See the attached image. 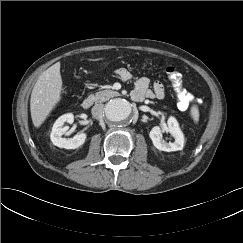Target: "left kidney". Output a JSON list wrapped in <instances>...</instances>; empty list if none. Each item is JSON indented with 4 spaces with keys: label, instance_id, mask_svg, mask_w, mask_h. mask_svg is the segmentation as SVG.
Listing matches in <instances>:
<instances>
[{
    "label": "left kidney",
    "instance_id": "5707ae66",
    "mask_svg": "<svg viewBox=\"0 0 243 243\" xmlns=\"http://www.w3.org/2000/svg\"><path fill=\"white\" fill-rule=\"evenodd\" d=\"M168 127L166 129H161L159 126H155L151 129L149 137L151 138L153 145L161 151L171 152L182 150L184 146V135L179 128L177 120L170 116L167 121ZM168 131L174 137V142L162 141V133Z\"/></svg>",
    "mask_w": 243,
    "mask_h": 243
}]
</instances>
